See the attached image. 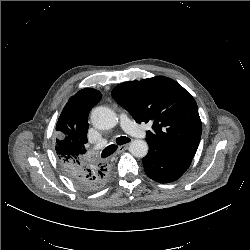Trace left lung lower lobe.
<instances>
[{
    "label": "left lung lower lobe",
    "instance_id": "obj_1",
    "mask_svg": "<svg viewBox=\"0 0 250 250\" xmlns=\"http://www.w3.org/2000/svg\"><path fill=\"white\" fill-rule=\"evenodd\" d=\"M190 158L175 157L149 147L142 159L146 175L159 183H170L180 178L191 164Z\"/></svg>",
    "mask_w": 250,
    "mask_h": 250
}]
</instances>
